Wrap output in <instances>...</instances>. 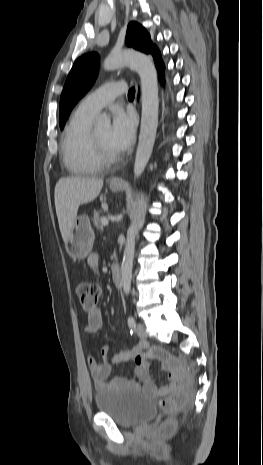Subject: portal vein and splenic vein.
Masks as SVG:
<instances>
[{"label": "portal vein and splenic vein", "instance_id": "obj_1", "mask_svg": "<svg viewBox=\"0 0 263 465\" xmlns=\"http://www.w3.org/2000/svg\"><path fill=\"white\" fill-rule=\"evenodd\" d=\"M101 223H102L103 226H107L108 225V219L106 217H103L101 219Z\"/></svg>", "mask_w": 263, "mask_h": 465}]
</instances>
